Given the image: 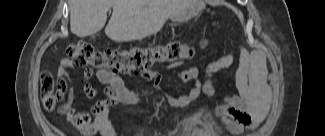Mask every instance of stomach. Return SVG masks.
Listing matches in <instances>:
<instances>
[{"instance_id": "obj_1", "label": "stomach", "mask_w": 325, "mask_h": 136, "mask_svg": "<svg viewBox=\"0 0 325 136\" xmlns=\"http://www.w3.org/2000/svg\"><path fill=\"white\" fill-rule=\"evenodd\" d=\"M194 8L186 11L185 13H179L174 16H172L170 19L174 22H183L184 19L188 16H191L192 14L198 13L199 9L203 6L202 3L198 0H194Z\"/></svg>"}]
</instances>
